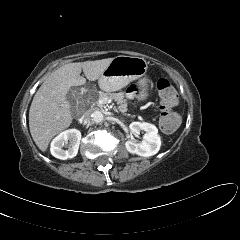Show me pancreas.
Returning <instances> with one entry per match:
<instances>
[{
    "mask_svg": "<svg viewBox=\"0 0 240 240\" xmlns=\"http://www.w3.org/2000/svg\"><path fill=\"white\" fill-rule=\"evenodd\" d=\"M100 98H108V99H114L118 104V110L123 114L130 116V114H127V100L125 99L124 93H104V92H98L97 94L91 96L88 98V102L91 104H97L98 100Z\"/></svg>",
    "mask_w": 240,
    "mask_h": 240,
    "instance_id": "obj_1",
    "label": "pancreas"
}]
</instances>
